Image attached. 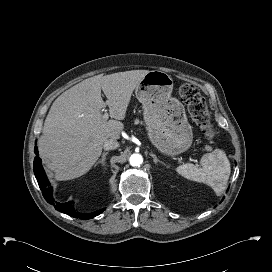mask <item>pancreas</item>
Here are the masks:
<instances>
[{"label": "pancreas", "mask_w": 272, "mask_h": 272, "mask_svg": "<svg viewBox=\"0 0 272 272\" xmlns=\"http://www.w3.org/2000/svg\"><path fill=\"white\" fill-rule=\"evenodd\" d=\"M140 121L138 119L135 120V124H139Z\"/></svg>", "instance_id": "1"}]
</instances>
